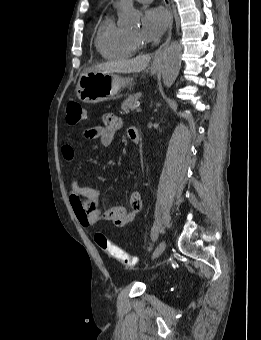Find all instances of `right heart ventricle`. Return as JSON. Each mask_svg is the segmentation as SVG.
<instances>
[{
  "mask_svg": "<svg viewBox=\"0 0 261 340\" xmlns=\"http://www.w3.org/2000/svg\"><path fill=\"white\" fill-rule=\"evenodd\" d=\"M95 46L99 54L108 60L128 58L136 52L129 34L116 26L112 14H107L99 24Z\"/></svg>",
  "mask_w": 261,
  "mask_h": 340,
  "instance_id": "obj_1",
  "label": "right heart ventricle"
}]
</instances>
